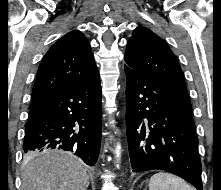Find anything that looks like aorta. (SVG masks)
<instances>
[{
	"label": "aorta",
	"instance_id": "obj_1",
	"mask_svg": "<svg viewBox=\"0 0 221 190\" xmlns=\"http://www.w3.org/2000/svg\"><path fill=\"white\" fill-rule=\"evenodd\" d=\"M120 149H121L120 144H117V147H116V157H117V158L120 157Z\"/></svg>",
	"mask_w": 221,
	"mask_h": 190
}]
</instances>
